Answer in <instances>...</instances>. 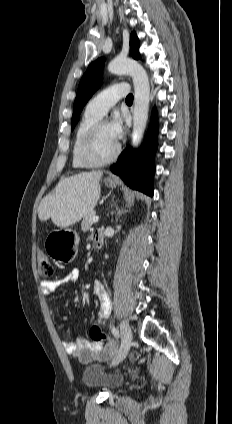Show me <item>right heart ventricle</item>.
Instances as JSON below:
<instances>
[{"mask_svg": "<svg viewBox=\"0 0 232 424\" xmlns=\"http://www.w3.org/2000/svg\"><path fill=\"white\" fill-rule=\"evenodd\" d=\"M101 118V116L89 111L87 108L84 111L74 134V140L72 145V165L74 168L77 169H84L89 166L84 164L82 160L79 157V147L81 144V141L89 128Z\"/></svg>", "mask_w": 232, "mask_h": 424, "instance_id": "obj_1", "label": "right heart ventricle"}]
</instances>
